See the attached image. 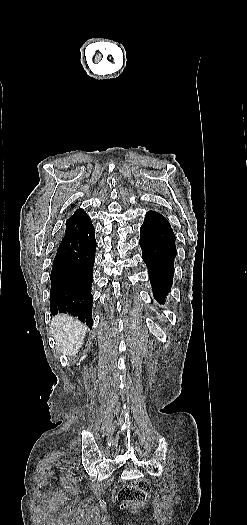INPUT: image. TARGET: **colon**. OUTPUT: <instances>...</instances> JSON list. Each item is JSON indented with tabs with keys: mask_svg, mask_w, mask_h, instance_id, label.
<instances>
[{
	"mask_svg": "<svg viewBox=\"0 0 247 525\" xmlns=\"http://www.w3.org/2000/svg\"><path fill=\"white\" fill-rule=\"evenodd\" d=\"M151 492V484L148 481H138L135 485H124L116 493L118 502L125 504L129 502L144 501Z\"/></svg>",
	"mask_w": 247,
	"mask_h": 525,
	"instance_id": "obj_1",
	"label": "colon"
}]
</instances>
